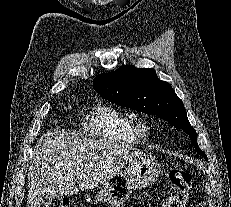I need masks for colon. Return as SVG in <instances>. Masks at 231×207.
Masks as SVG:
<instances>
[{"mask_svg": "<svg viewBox=\"0 0 231 207\" xmlns=\"http://www.w3.org/2000/svg\"><path fill=\"white\" fill-rule=\"evenodd\" d=\"M171 183L166 199L165 207H185L192 190L191 174L180 168H173L169 172ZM44 207H71L70 202L65 198L51 199Z\"/></svg>", "mask_w": 231, "mask_h": 207, "instance_id": "1", "label": "colon"}]
</instances>
